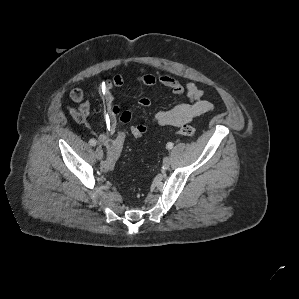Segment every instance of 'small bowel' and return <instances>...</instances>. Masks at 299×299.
Here are the masks:
<instances>
[{
  "mask_svg": "<svg viewBox=\"0 0 299 299\" xmlns=\"http://www.w3.org/2000/svg\"><path fill=\"white\" fill-rule=\"evenodd\" d=\"M141 73L136 77V81L146 86H156L158 84L165 86L183 101L165 110H160L155 113L154 121L159 126L180 127L183 124L193 120L194 118L210 112L213 105L203 99L204 92L197 87L193 82H188L185 86L174 77L168 74H160L155 76L148 73L146 70H141ZM124 77L116 75L112 78L104 79L100 82L98 91L103 105L104 120L106 132L98 136V141L101 144H107L111 136L117 130L118 122L127 124L131 121L132 114L130 111L121 110L114 103L113 89L122 86ZM70 99L75 103H80V108L86 110L89 114L90 104L84 101V92L81 88H73L70 91ZM139 105L143 108L151 106V100L148 97H141ZM146 131V126L142 123H137Z\"/></svg>",
  "mask_w": 299,
  "mask_h": 299,
  "instance_id": "1",
  "label": "small bowel"
}]
</instances>
